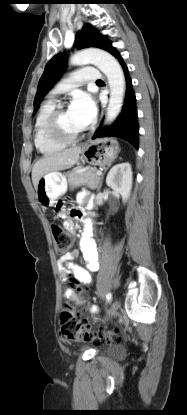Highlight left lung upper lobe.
<instances>
[{"instance_id":"1","label":"left lung upper lobe","mask_w":187,"mask_h":415,"mask_svg":"<svg viewBox=\"0 0 187 415\" xmlns=\"http://www.w3.org/2000/svg\"><path fill=\"white\" fill-rule=\"evenodd\" d=\"M76 46L81 48L97 47L106 50L111 44L106 37L96 32L91 25L83 27L81 33L76 37ZM67 55L58 53L46 65L39 80L37 93L34 99V113L37 112L40 102L45 94L51 89L54 83L60 78L66 68Z\"/></svg>"}]
</instances>
